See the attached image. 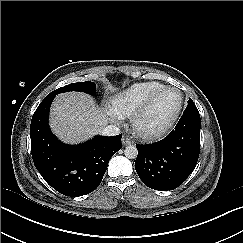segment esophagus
<instances>
[{
	"label": "esophagus",
	"mask_w": 243,
	"mask_h": 243,
	"mask_svg": "<svg viewBox=\"0 0 243 243\" xmlns=\"http://www.w3.org/2000/svg\"><path fill=\"white\" fill-rule=\"evenodd\" d=\"M122 144L124 146H127V145H131L132 144V141L130 138H128L127 136H123L122 138Z\"/></svg>",
	"instance_id": "esophagus-1"
}]
</instances>
